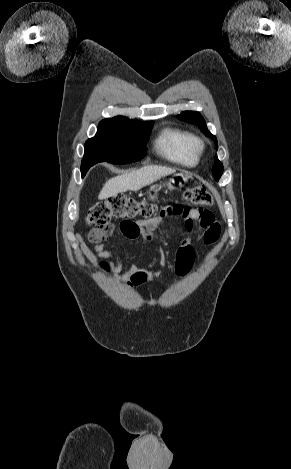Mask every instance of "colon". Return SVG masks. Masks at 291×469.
<instances>
[{"mask_svg": "<svg viewBox=\"0 0 291 469\" xmlns=\"http://www.w3.org/2000/svg\"><path fill=\"white\" fill-rule=\"evenodd\" d=\"M183 198L190 203L200 207L212 206L214 203L210 191L204 186L188 187L183 192ZM189 207L183 205H173L161 210L159 216L168 215L175 216L180 213H187ZM207 211V210H203ZM157 212V207L154 203L147 199H135L125 195H116L104 201L98 202L93 205L86 215V223L93 225L100 234H108L111 230V221L115 219H122L123 221H130L135 217L150 218ZM215 229H211L208 234H214Z\"/></svg>", "mask_w": 291, "mask_h": 469, "instance_id": "5ec220e1", "label": "colon"}]
</instances>
